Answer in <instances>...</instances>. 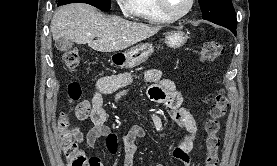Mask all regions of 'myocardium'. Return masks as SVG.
Listing matches in <instances>:
<instances>
[{"mask_svg": "<svg viewBox=\"0 0 277 166\" xmlns=\"http://www.w3.org/2000/svg\"><path fill=\"white\" fill-rule=\"evenodd\" d=\"M156 3H157V6H158V9L160 10V12L171 21H176V20L184 18L191 12V10L194 6V0H188L187 7L182 12H180L178 14H174L168 9L165 0H156Z\"/></svg>", "mask_w": 277, "mask_h": 166, "instance_id": "obj_1", "label": "myocardium"}]
</instances>
